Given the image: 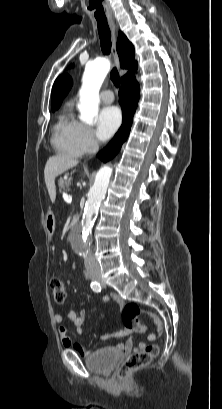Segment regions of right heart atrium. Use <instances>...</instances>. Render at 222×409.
I'll use <instances>...</instances> for the list:
<instances>
[{"instance_id":"right-heart-atrium-1","label":"right heart atrium","mask_w":222,"mask_h":409,"mask_svg":"<svg viewBox=\"0 0 222 409\" xmlns=\"http://www.w3.org/2000/svg\"><path fill=\"white\" fill-rule=\"evenodd\" d=\"M79 140L85 152H93L98 147L92 129L86 125L79 124Z\"/></svg>"}]
</instances>
